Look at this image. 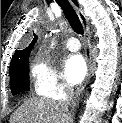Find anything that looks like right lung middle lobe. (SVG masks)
<instances>
[{
    "instance_id": "right-lung-middle-lobe-1",
    "label": "right lung middle lobe",
    "mask_w": 122,
    "mask_h": 123,
    "mask_svg": "<svg viewBox=\"0 0 122 123\" xmlns=\"http://www.w3.org/2000/svg\"><path fill=\"white\" fill-rule=\"evenodd\" d=\"M12 94L29 91V60L9 70Z\"/></svg>"
}]
</instances>
